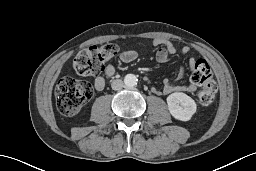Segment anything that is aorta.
<instances>
[{
	"mask_svg": "<svg viewBox=\"0 0 256 171\" xmlns=\"http://www.w3.org/2000/svg\"><path fill=\"white\" fill-rule=\"evenodd\" d=\"M137 81H138V79L134 74H127L124 78V83L129 88L136 86Z\"/></svg>",
	"mask_w": 256,
	"mask_h": 171,
	"instance_id": "1",
	"label": "aorta"
}]
</instances>
